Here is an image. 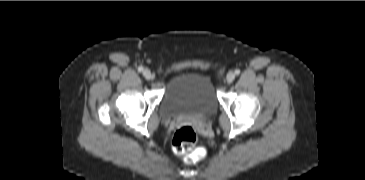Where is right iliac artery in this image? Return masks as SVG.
<instances>
[{"mask_svg": "<svg viewBox=\"0 0 365 180\" xmlns=\"http://www.w3.org/2000/svg\"><path fill=\"white\" fill-rule=\"evenodd\" d=\"M138 71H139V72H142V71H143V67H142V66H139V67H138Z\"/></svg>", "mask_w": 365, "mask_h": 180, "instance_id": "82829eb1", "label": "right iliac artery"}]
</instances>
